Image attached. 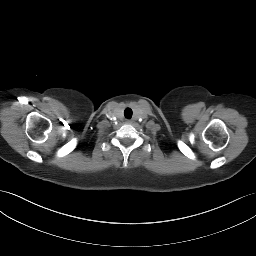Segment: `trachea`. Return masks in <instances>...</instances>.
Masks as SVG:
<instances>
[{
    "label": "trachea",
    "mask_w": 256,
    "mask_h": 256,
    "mask_svg": "<svg viewBox=\"0 0 256 256\" xmlns=\"http://www.w3.org/2000/svg\"><path fill=\"white\" fill-rule=\"evenodd\" d=\"M124 115L126 118H131L132 117V110L130 108H126L124 111Z\"/></svg>",
    "instance_id": "3493384b"
}]
</instances>
